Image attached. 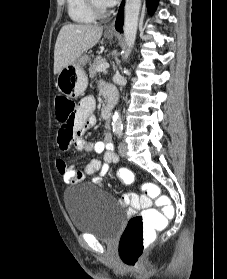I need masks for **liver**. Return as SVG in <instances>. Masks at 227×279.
Wrapping results in <instances>:
<instances>
[{
  "label": "liver",
  "instance_id": "1",
  "mask_svg": "<svg viewBox=\"0 0 227 279\" xmlns=\"http://www.w3.org/2000/svg\"><path fill=\"white\" fill-rule=\"evenodd\" d=\"M103 27L89 24H66L57 37L54 49V74L74 63L100 40Z\"/></svg>",
  "mask_w": 227,
  "mask_h": 279
}]
</instances>
